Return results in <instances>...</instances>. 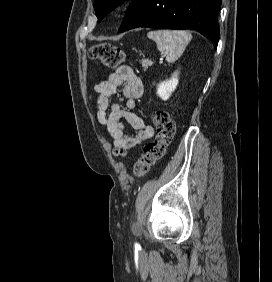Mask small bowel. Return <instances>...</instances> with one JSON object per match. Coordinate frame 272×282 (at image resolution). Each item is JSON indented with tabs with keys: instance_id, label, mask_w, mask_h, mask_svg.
<instances>
[{
	"instance_id": "1",
	"label": "small bowel",
	"mask_w": 272,
	"mask_h": 282,
	"mask_svg": "<svg viewBox=\"0 0 272 282\" xmlns=\"http://www.w3.org/2000/svg\"><path fill=\"white\" fill-rule=\"evenodd\" d=\"M122 87L125 98L123 107L112 100L118 88ZM96 98V118L113 139L115 156H125L134 146L142 144L154 135V129L145 125L132 109L143 93V84L129 66H120L110 73L107 79L94 86ZM125 119L138 130L135 137L124 133L122 120Z\"/></svg>"
}]
</instances>
